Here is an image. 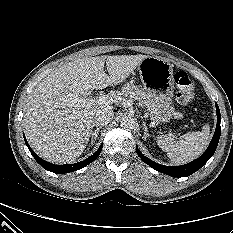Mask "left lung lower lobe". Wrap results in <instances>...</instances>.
<instances>
[{
    "label": "left lung lower lobe",
    "mask_w": 233,
    "mask_h": 233,
    "mask_svg": "<svg viewBox=\"0 0 233 233\" xmlns=\"http://www.w3.org/2000/svg\"><path fill=\"white\" fill-rule=\"evenodd\" d=\"M216 111H217V125L213 138L206 151L196 160L185 165L170 167V166H164L158 164L148 159L147 157L142 155L140 151L137 149V153L139 154V157L142 159L143 162L148 164L153 169L172 177H185L193 174L194 172L199 170L210 159L211 156H213L216 147L218 145L221 134V127H220L221 115L217 104H216Z\"/></svg>",
    "instance_id": "obj_1"
}]
</instances>
